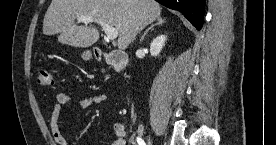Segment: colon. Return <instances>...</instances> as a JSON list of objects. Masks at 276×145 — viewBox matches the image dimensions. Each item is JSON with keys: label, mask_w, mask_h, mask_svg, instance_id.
Returning a JSON list of instances; mask_svg holds the SVG:
<instances>
[{"label": "colon", "mask_w": 276, "mask_h": 145, "mask_svg": "<svg viewBox=\"0 0 276 145\" xmlns=\"http://www.w3.org/2000/svg\"><path fill=\"white\" fill-rule=\"evenodd\" d=\"M37 83L41 87H52L54 85V77L51 70L41 68L37 73Z\"/></svg>", "instance_id": "obj_1"}]
</instances>
